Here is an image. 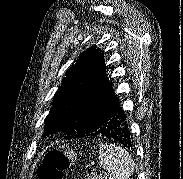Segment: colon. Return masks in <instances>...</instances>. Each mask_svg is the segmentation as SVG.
<instances>
[{
	"mask_svg": "<svg viewBox=\"0 0 183 179\" xmlns=\"http://www.w3.org/2000/svg\"><path fill=\"white\" fill-rule=\"evenodd\" d=\"M73 159V152L68 150L54 149L48 151L37 170L38 179H64Z\"/></svg>",
	"mask_w": 183,
	"mask_h": 179,
	"instance_id": "obj_1",
	"label": "colon"
}]
</instances>
